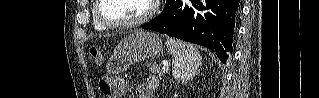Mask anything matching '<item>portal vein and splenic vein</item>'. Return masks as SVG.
Wrapping results in <instances>:
<instances>
[{"mask_svg":"<svg viewBox=\"0 0 319 98\" xmlns=\"http://www.w3.org/2000/svg\"><path fill=\"white\" fill-rule=\"evenodd\" d=\"M165 72H168L169 67H168V62H163V68H162Z\"/></svg>","mask_w":319,"mask_h":98,"instance_id":"portal-vein-and-splenic-vein-1","label":"portal vein and splenic vein"}]
</instances>
